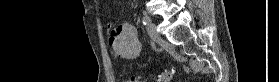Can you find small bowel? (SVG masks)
<instances>
[{
  "mask_svg": "<svg viewBox=\"0 0 279 82\" xmlns=\"http://www.w3.org/2000/svg\"><path fill=\"white\" fill-rule=\"evenodd\" d=\"M109 42L116 58L135 59L140 54L141 45L137 39L136 29L130 24L112 29Z\"/></svg>",
  "mask_w": 279,
  "mask_h": 82,
  "instance_id": "obj_1",
  "label": "small bowel"
}]
</instances>
